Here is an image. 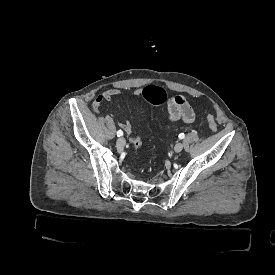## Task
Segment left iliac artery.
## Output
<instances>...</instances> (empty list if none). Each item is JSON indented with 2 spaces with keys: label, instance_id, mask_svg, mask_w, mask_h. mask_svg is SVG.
Here are the masks:
<instances>
[{
  "label": "left iliac artery",
  "instance_id": "obj_1",
  "mask_svg": "<svg viewBox=\"0 0 275 275\" xmlns=\"http://www.w3.org/2000/svg\"><path fill=\"white\" fill-rule=\"evenodd\" d=\"M179 139H183L184 137H185V134L184 133H181V134H179Z\"/></svg>",
  "mask_w": 275,
  "mask_h": 275
}]
</instances>
